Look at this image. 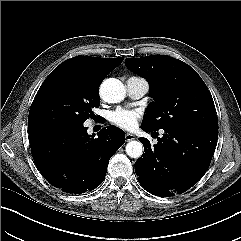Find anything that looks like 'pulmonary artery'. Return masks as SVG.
<instances>
[{
    "label": "pulmonary artery",
    "mask_w": 241,
    "mask_h": 241,
    "mask_svg": "<svg viewBox=\"0 0 241 241\" xmlns=\"http://www.w3.org/2000/svg\"><path fill=\"white\" fill-rule=\"evenodd\" d=\"M126 89L131 98L139 99L148 92L149 83L146 79L141 77H130L126 81Z\"/></svg>",
    "instance_id": "1"
}]
</instances>
